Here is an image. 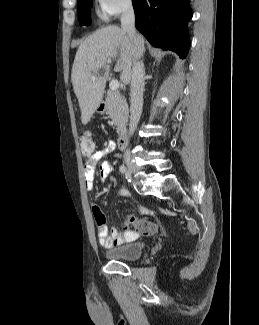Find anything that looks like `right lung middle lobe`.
I'll list each match as a JSON object with an SVG mask.
<instances>
[{"instance_id":"1","label":"right lung middle lobe","mask_w":259,"mask_h":325,"mask_svg":"<svg viewBox=\"0 0 259 325\" xmlns=\"http://www.w3.org/2000/svg\"><path fill=\"white\" fill-rule=\"evenodd\" d=\"M92 0H78V17L80 25H90V7Z\"/></svg>"}]
</instances>
